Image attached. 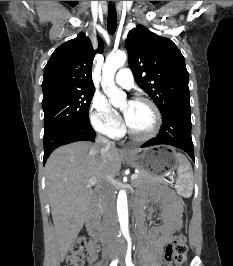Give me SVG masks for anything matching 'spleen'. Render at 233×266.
<instances>
[{
    "label": "spleen",
    "mask_w": 233,
    "mask_h": 266,
    "mask_svg": "<svg viewBox=\"0 0 233 266\" xmlns=\"http://www.w3.org/2000/svg\"><path fill=\"white\" fill-rule=\"evenodd\" d=\"M178 160V179L176 184L177 193L183 197H190L193 191V171L187 158L178 153L175 155Z\"/></svg>",
    "instance_id": "spleen-1"
}]
</instances>
